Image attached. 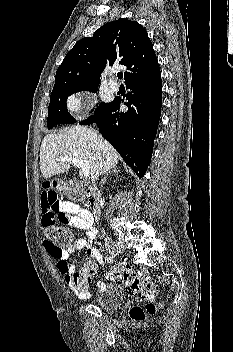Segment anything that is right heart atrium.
Here are the masks:
<instances>
[{"label": "right heart atrium", "instance_id": "obj_1", "mask_svg": "<svg viewBox=\"0 0 233 352\" xmlns=\"http://www.w3.org/2000/svg\"><path fill=\"white\" fill-rule=\"evenodd\" d=\"M67 106L69 111L73 113L79 112L82 107V98L80 94H73L70 96L67 101Z\"/></svg>", "mask_w": 233, "mask_h": 352}]
</instances>
